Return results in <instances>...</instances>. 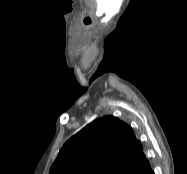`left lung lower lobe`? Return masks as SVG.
Instances as JSON below:
<instances>
[{"label":"left lung lower lobe","mask_w":187,"mask_h":174,"mask_svg":"<svg viewBox=\"0 0 187 174\" xmlns=\"http://www.w3.org/2000/svg\"><path fill=\"white\" fill-rule=\"evenodd\" d=\"M133 174H138V169H136ZM142 174H154V172L152 171L151 167L149 166L144 169Z\"/></svg>","instance_id":"1"}]
</instances>
